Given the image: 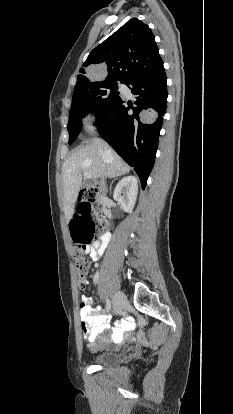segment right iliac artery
Here are the masks:
<instances>
[{
    "label": "right iliac artery",
    "instance_id": "1",
    "mask_svg": "<svg viewBox=\"0 0 233 414\" xmlns=\"http://www.w3.org/2000/svg\"><path fill=\"white\" fill-rule=\"evenodd\" d=\"M107 303V310H111V302L109 301V299L106 300Z\"/></svg>",
    "mask_w": 233,
    "mask_h": 414
}]
</instances>
